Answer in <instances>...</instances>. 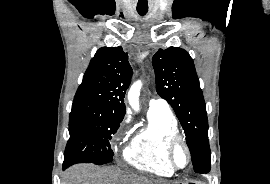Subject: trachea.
Listing matches in <instances>:
<instances>
[{
	"instance_id": "trachea-1",
	"label": "trachea",
	"mask_w": 270,
	"mask_h": 184,
	"mask_svg": "<svg viewBox=\"0 0 270 184\" xmlns=\"http://www.w3.org/2000/svg\"><path fill=\"white\" fill-rule=\"evenodd\" d=\"M137 12L139 13V15L144 16L148 12V10L137 9Z\"/></svg>"
}]
</instances>
